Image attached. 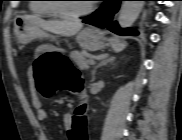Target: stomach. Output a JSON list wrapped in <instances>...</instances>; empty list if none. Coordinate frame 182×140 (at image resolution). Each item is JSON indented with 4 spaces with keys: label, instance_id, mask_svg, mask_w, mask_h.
I'll use <instances>...</instances> for the list:
<instances>
[{
    "label": "stomach",
    "instance_id": "0dacf381",
    "mask_svg": "<svg viewBox=\"0 0 182 140\" xmlns=\"http://www.w3.org/2000/svg\"><path fill=\"white\" fill-rule=\"evenodd\" d=\"M43 34L36 25L25 17L19 16L14 20V36L20 44H27ZM76 40L81 48L89 51H97L108 45V39L100 31L92 27L80 31L76 36Z\"/></svg>",
    "mask_w": 182,
    "mask_h": 140
}]
</instances>
